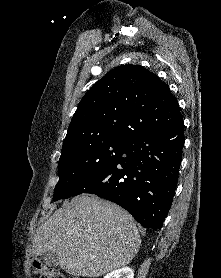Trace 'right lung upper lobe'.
Returning a JSON list of instances; mask_svg holds the SVG:
<instances>
[{
  "mask_svg": "<svg viewBox=\"0 0 221 278\" xmlns=\"http://www.w3.org/2000/svg\"><path fill=\"white\" fill-rule=\"evenodd\" d=\"M182 120L177 99L158 76L139 65H122L96 82L82 98L62 151L91 139L130 140Z\"/></svg>",
  "mask_w": 221,
  "mask_h": 278,
  "instance_id": "right-lung-upper-lobe-1",
  "label": "right lung upper lobe"
}]
</instances>
